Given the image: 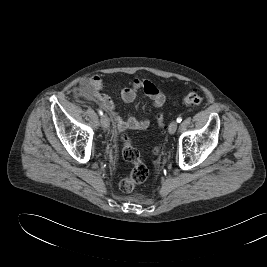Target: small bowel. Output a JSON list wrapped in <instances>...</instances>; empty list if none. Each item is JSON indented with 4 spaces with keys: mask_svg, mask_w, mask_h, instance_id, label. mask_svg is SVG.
<instances>
[{
    "mask_svg": "<svg viewBox=\"0 0 267 267\" xmlns=\"http://www.w3.org/2000/svg\"><path fill=\"white\" fill-rule=\"evenodd\" d=\"M103 87L102 79L99 76H93L81 81L79 91L85 97L95 100L100 107L112 115L118 131L126 129L145 130L149 127L150 121L147 118H136L134 116L123 118L118 112L117 104L103 93ZM139 91H143L149 97L154 108L162 107L166 101L163 92L154 83L146 79H135L130 86L123 87L120 91L121 98L125 103H132Z\"/></svg>",
    "mask_w": 267,
    "mask_h": 267,
    "instance_id": "obj_1",
    "label": "small bowel"
}]
</instances>
